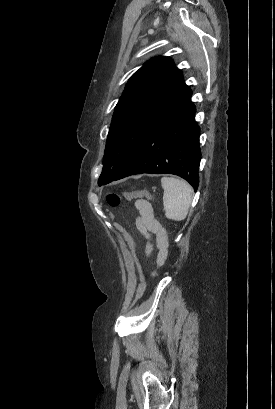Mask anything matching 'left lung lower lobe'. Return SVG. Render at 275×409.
Returning a JSON list of instances; mask_svg holds the SVG:
<instances>
[{
    "label": "left lung lower lobe",
    "mask_w": 275,
    "mask_h": 409,
    "mask_svg": "<svg viewBox=\"0 0 275 409\" xmlns=\"http://www.w3.org/2000/svg\"><path fill=\"white\" fill-rule=\"evenodd\" d=\"M190 94L161 116L134 146L113 179L140 174H175L199 184L200 128Z\"/></svg>",
    "instance_id": "left-lung-lower-lobe-1"
}]
</instances>
